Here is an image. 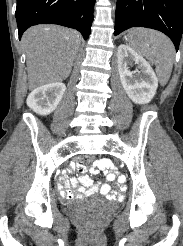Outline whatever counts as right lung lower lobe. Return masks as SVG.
<instances>
[{
    "mask_svg": "<svg viewBox=\"0 0 183 246\" xmlns=\"http://www.w3.org/2000/svg\"><path fill=\"white\" fill-rule=\"evenodd\" d=\"M96 0H17L19 39L37 24H58L74 28L87 40L91 33Z\"/></svg>",
    "mask_w": 183,
    "mask_h": 246,
    "instance_id": "1",
    "label": "right lung lower lobe"
}]
</instances>
